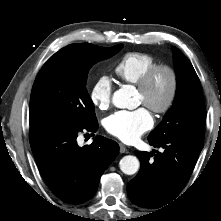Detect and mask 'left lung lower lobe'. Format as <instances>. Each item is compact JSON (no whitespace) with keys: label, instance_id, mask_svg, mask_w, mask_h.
Returning a JSON list of instances; mask_svg holds the SVG:
<instances>
[{"label":"left lung lower lobe","instance_id":"obj_1","mask_svg":"<svg viewBox=\"0 0 221 221\" xmlns=\"http://www.w3.org/2000/svg\"><path fill=\"white\" fill-rule=\"evenodd\" d=\"M149 142L154 147H162L164 152L154 155L152 152L135 151L141 167L128 183L127 192L134 204L153 209L171 202L183 190L203 148V142L187 138Z\"/></svg>","mask_w":221,"mask_h":221}]
</instances>
